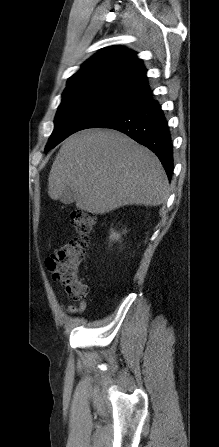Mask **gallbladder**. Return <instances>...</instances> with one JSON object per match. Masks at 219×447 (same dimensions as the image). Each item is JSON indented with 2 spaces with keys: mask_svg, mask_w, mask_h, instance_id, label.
<instances>
[{
  "mask_svg": "<svg viewBox=\"0 0 219 447\" xmlns=\"http://www.w3.org/2000/svg\"><path fill=\"white\" fill-rule=\"evenodd\" d=\"M74 196H75L74 191L71 190V189H68V190H67V195L61 197V198H60V201H61L63 204H66V205L72 204V203L75 201Z\"/></svg>",
  "mask_w": 219,
  "mask_h": 447,
  "instance_id": "obj_1",
  "label": "gallbladder"
}]
</instances>
